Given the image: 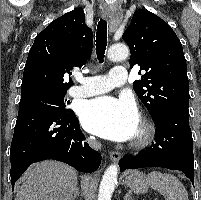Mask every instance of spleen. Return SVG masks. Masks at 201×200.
<instances>
[{"instance_id":"3e777b00","label":"spleen","mask_w":201,"mask_h":200,"mask_svg":"<svg viewBox=\"0 0 201 200\" xmlns=\"http://www.w3.org/2000/svg\"><path fill=\"white\" fill-rule=\"evenodd\" d=\"M147 179L148 185L159 191L166 200H189L185 187L174 175L152 171Z\"/></svg>"}]
</instances>
